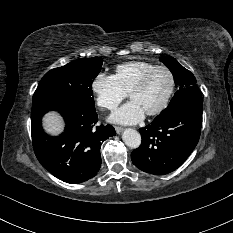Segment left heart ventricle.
Masks as SVG:
<instances>
[{"label":"left heart ventricle","instance_id":"obj_1","mask_svg":"<svg viewBox=\"0 0 233 233\" xmlns=\"http://www.w3.org/2000/svg\"><path fill=\"white\" fill-rule=\"evenodd\" d=\"M170 88V77L165 71L152 75L145 87L130 97L145 113L157 109L164 101Z\"/></svg>","mask_w":233,"mask_h":233}]
</instances>
